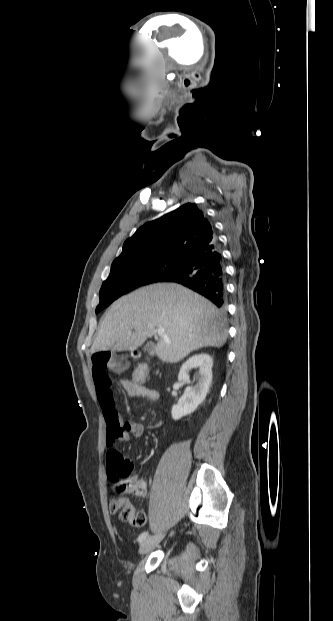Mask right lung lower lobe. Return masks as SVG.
<instances>
[{
	"mask_svg": "<svg viewBox=\"0 0 333 621\" xmlns=\"http://www.w3.org/2000/svg\"><path fill=\"white\" fill-rule=\"evenodd\" d=\"M161 282L182 284L224 308L226 301L225 268L217 239L184 258V263Z\"/></svg>",
	"mask_w": 333,
	"mask_h": 621,
	"instance_id": "98d812e1",
	"label": "right lung lower lobe"
}]
</instances>
